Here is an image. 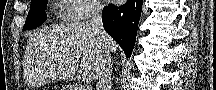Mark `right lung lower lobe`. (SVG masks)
Returning a JSON list of instances; mask_svg holds the SVG:
<instances>
[{
    "label": "right lung lower lobe",
    "instance_id": "98d812e1",
    "mask_svg": "<svg viewBox=\"0 0 216 90\" xmlns=\"http://www.w3.org/2000/svg\"><path fill=\"white\" fill-rule=\"evenodd\" d=\"M142 0H128L122 6L108 5L102 12L106 32L131 56L142 11Z\"/></svg>",
    "mask_w": 216,
    "mask_h": 90
}]
</instances>
